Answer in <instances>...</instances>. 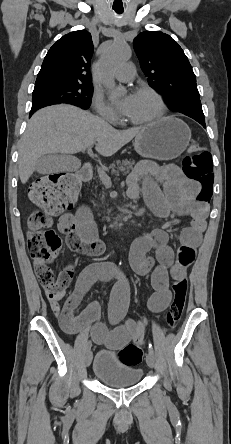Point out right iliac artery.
I'll return each instance as SVG.
<instances>
[{
    "label": "right iliac artery",
    "mask_w": 231,
    "mask_h": 444,
    "mask_svg": "<svg viewBox=\"0 0 231 444\" xmlns=\"http://www.w3.org/2000/svg\"><path fill=\"white\" fill-rule=\"evenodd\" d=\"M91 346H92L91 342H88L86 345V351L90 350Z\"/></svg>",
    "instance_id": "82829eb1"
}]
</instances>
